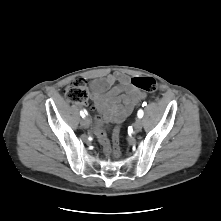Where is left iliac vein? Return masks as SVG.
<instances>
[{"instance_id": "obj_1", "label": "left iliac vein", "mask_w": 221, "mask_h": 221, "mask_svg": "<svg viewBox=\"0 0 221 221\" xmlns=\"http://www.w3.org/2000/svg\"><path fill=\"white\" fill-rule=\"evenodd\" d=\"M142 120L141 119H137L136 121H135V123H134V125H133V127H134V131L135 132H140L141 131V129H142Z\"/></svg>"}]
</instances>
